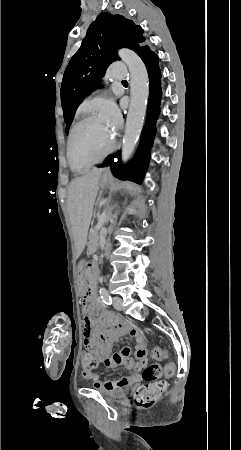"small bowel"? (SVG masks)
<instances>
[{
	"label": "small bowel",
	"mask_w": 241,
	"mask_h": 450,
	"mask_svg": "<svg viewBox=\"0 0 241 450\" xmlns=\"http://www.w3.org/2000/svg\"><path fill=\"white\" fill-rule=\"evenodd\" d=\"M82 316L84 317L83 344L85 347H94L97 363H103L107 368L123 366L129 375L112 380L100 381L99 377L91 371L83 372L86 379L92 380L96 388H103L108 392H115L128 386L139 384L143 380L142 371L148 364L147 339L141 329L129 322H123V328L118 331L117 324H106L105 328L98 330V316H91L89 307L94 301L92 298L82 299ZM123 335L135 339V346H125L119 352L111 354L113 345Z\"/></svg>",
	"instance_id": "obj_1"
}]
</instances>
